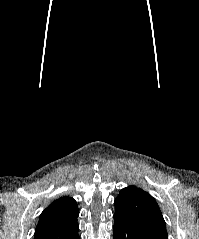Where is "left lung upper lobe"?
Masks as SVG:
<instances>
[{
	"instance_id": "left-lung-upper-lobe-1",
	"label": "left lung upper lobe",
	"mask_w": 199,
	"mask_h": 239,
	"mask_svg": "<svg viewBox=\"0 0 199 239\" xmlns=\"http://www.w3.org/2000/svg\"><path fill=\"white\" fill-rule=\"evenodd\" d=\"M115 213L147 229L158 239H168L165 221L155 199L135 186L123 188L114 201Z\"/></svg>"
}]
</instances>
